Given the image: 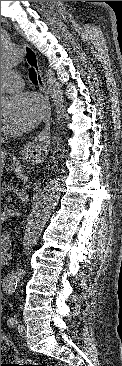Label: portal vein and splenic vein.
I'll use <instances>...</instances> for the list:
<instances>
[{
	"instance_id": "obj_1",
	"label": "portal vein and splenic vein",
	"mask_w": 122,
	"mask_h": 366,
	"mask_svg": "<svg viewBox=\"0 0 122 366\" xmlns=\"http://www.w3.org/2000/svg\"><path fill=\"white\" fill-rule=\"evenodd\" d=\"M10 198H11L10 196H6V198H5V199H6V200H10Z\"/></svg>"
}]
</instances>
